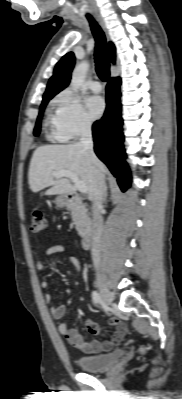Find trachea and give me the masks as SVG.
<instances>
[{"label": "trachea", "instance_id": "trachea-1", "mask_svg": "<svg viewBox=\"0 0 182 399\" xmlns=\"http://www.w3.org/2000/svg\"><path fill=\"white\" fill-rule=\"evenodd\" d=\"M96 41L95 65L96 72L102 81H107L110 75V64L107 56L106 38L104 32L91 15H86Z\"/></svg>", "mask_w": 182, "mask_h": 399}]
</instances>
